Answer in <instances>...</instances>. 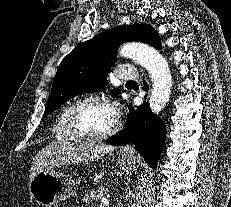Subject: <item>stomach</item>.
I'll list each match as a JSON object with an SVG mask.
<instances>
[{"instance_id": "1", "label": "stomach", "mask_w": 231, "mask_h": 207, "mask_svg": "<svg viewBox=\"0 0 231 207\" xmlns=\"http://www.w3.org/2000/svg\"><path fill=\"white\" fill-rule=\"evenodd\" d=\"M117 165L127 173L137 170V159L131 154L120 153ZM31 197L42 207H52L77 193V185L68 175L53 169L38 172L29 183Z\"/></svg>"}]
</instances>
